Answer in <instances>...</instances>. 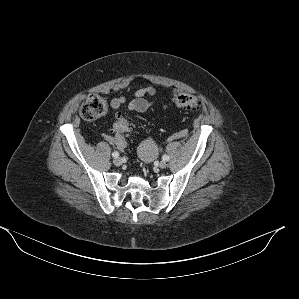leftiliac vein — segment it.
I'll return each instance as SVG.
<instances>
[{
    "label": "left iliac vein",
    "instance_id": "4c4485c4",
    "mask_svg": "<svg viewBox=\"0 0 299 299\" xmlns=\"http://www.w3.org/2000/svg\"><path fill=\"white\" fill-rule=\"evenodd\" d=\"M158 166H159L161 169H163V168H166L167 163H166L165 161L162 160V161L159 162Z\"/></svg>",
    "mask_w": 299,
    "mask_h": 299
}]
</instances>
